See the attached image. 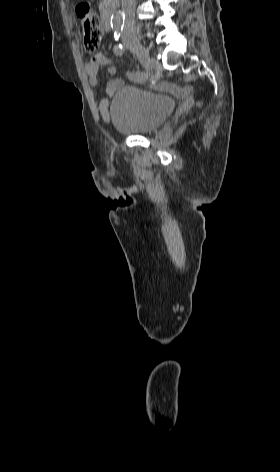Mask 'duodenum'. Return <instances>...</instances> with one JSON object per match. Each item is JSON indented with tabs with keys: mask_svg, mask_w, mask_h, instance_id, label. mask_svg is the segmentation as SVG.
<instances>
[{
	"mask_svg": "<svg viewBox=\"0 0 280 472\" xmlns=\"http://www.w3.org/2000/svg\"><path fill=\"white\" fill-rule=\"evenodd\" d=\"M114 14V4L110 3L103 11L102 25L106 31H110L112 27V19Z\"/></svg>",
	"mask_w": 280,
	"mask_h": 472,
	"instance_id": "duodenum-1",
	"label": "duodenum"
}]
</instances>
